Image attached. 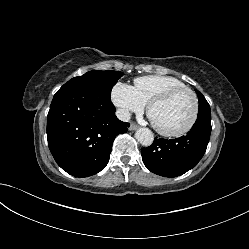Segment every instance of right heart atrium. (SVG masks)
Here are the masks:
<instances>
[{"mask_svg":"<svg viewBox=\"0 0 249 249\" xmlns=\"http://www.w3.org/2000/svg\"><path fill=\"white\" fill-rule=\"evenodd\" d=\"M111 99L123 118H127L131 112H140L145 108V103L140 99L134 87L123 82H117L113 86Z\"/></svg>","mask_w":249,"mask_h":249,"instance_id":"right-heart-atrium-1","label":"right heart atrium"}]
</instances>
